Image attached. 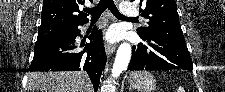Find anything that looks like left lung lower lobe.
Masks as SVG:
<instances>
[{
  "label": "left lung lower lobe",
  "instance_id": "obj_1",
  "mask_svg": "<svg viewBox=\"0 0 225 92\" xmlns=\"http://www.w3.org/2000/svg\"><path fill=\"white\" fill-rule=\"evenodd\" d=\"M142 39L144 44L133 46L129 70L193 69L185 42L170 38Z\"/></svg>",
  "mask_w": 225,
  "mask_h": 92
}]
</instances>
